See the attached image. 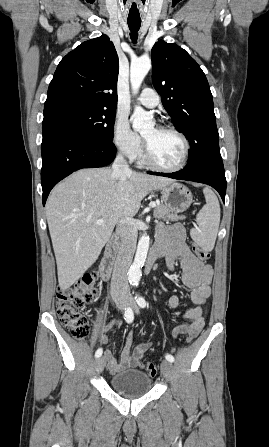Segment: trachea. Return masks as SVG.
Listing matches in <instances>:
<instances>
[{
    "mask_svg": "<svg viewBox=\"0 0 269 447\" xmlns=\"http://www.w3.org/2000/svg\"><path fill=\"white\" fill-rule=\"evenodd\" d=\"M140 25H141V22H128V26L131 31L130 35H131V38L134 43H136L137 36H138L137 32L140 28Z\"/></svg>",
    "mask_w": 269,
    "mask_h": 447,
    "instance_id": "obj_1",
    "label": "trachea"
}]
</instances>
